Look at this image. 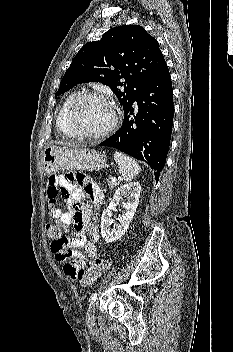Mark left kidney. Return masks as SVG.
Returning <instances> with one entry per match:
<instances>
[{
    "label": "left kidney",
    "mask_w": 233,
    "mask_h": 352,
    "mask_svg": "<svg viewBox=\"0 0 233 352\" xmlns=\"http://www.w3.org/2000/svg\"><path fill=\"white\" fill-rule=\"evenodd\" d=\"M140 193L141 185L138 182H131L122 185L116 190L113 200L102 213L101 235L105 242H115L125 234L136 212ZM123 197H127V201L122 204L124 211L119 215V223L111 228L110 220L112 217V210Z\"/></svg>",
    "instance_id": "1"
}]
</instances>
